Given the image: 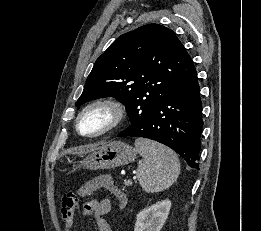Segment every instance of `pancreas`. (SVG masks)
Here are the masks:
<instances>
[{"label": "pancreas", "instance_id": "pancreas-1", "mask_svg": "<svg viewBox=\"0 0 261 231\" xmlns=\"http://www.w3.org/2000/svg\"><path fill=\"white\" fill-rule=\"evenodd\" d=\"M125 185L129 186L130 184L125 183Z\"/></svg>", "mask_w": 261, "mask_h": 231}]
</instances>
